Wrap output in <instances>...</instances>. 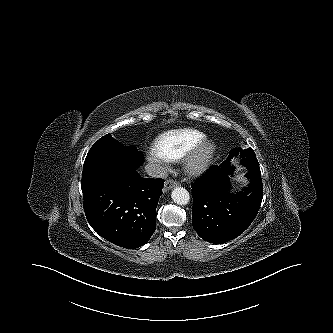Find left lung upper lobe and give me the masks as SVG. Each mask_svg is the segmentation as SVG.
I'll return each mask as SVG.
<instances>
[{"mask_svg":"<svg viewBox=\"0 0 333 333\" xmlns=\"http://www.w3.org/2000/svg\"><path fill=\"white\" fill-rule=\"evenodd\" d=\"M241 151H243V150H241V149H235V148L232 149L231 152H230V154H229V156H228V158H233L235 155H238L239 152H241ZM244 151L247 152V154L252 155V158H251V160L248 161V163L245 162V161L242 162V165L246 166L249 169L250 172H252L254 174L261 175L260 168H259V163H258V161L256 159V156H255V153H254L253 149L252 148H248V149H246Z\"/></svg>","mask_w":333,"mask_h":333,"instance_id":"obj_1","label":"left lung upper lobe"}]
</instances>
